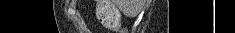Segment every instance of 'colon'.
<instances>
[{
    "label": "colon",
    "instance_id": "colon-1",
    "mask_svg": "<svg viewBox=\"0 0 235 33\" xmlns=\"http://www.w3.org/2000/svg\"><path fill=\"white\" fill-rule=\"evenodd\" d=\"M96 13L104 26L112 29L118 28L120 12L111 1L100 0L97 4Z\"/></svg>",
    "mask_w": 235,
    "mask_h": 33
}]
</instances>
